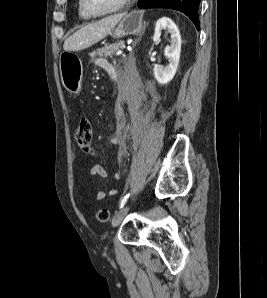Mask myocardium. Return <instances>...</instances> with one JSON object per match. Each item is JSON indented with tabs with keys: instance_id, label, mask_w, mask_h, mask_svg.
Listing matches in <instances>:
<instances>
[{
	"instance_id": "f54148a6",
	"label": "myocardium",
	"mask_w": 267,
	"mask_h": 298,
	"mask_svg": "<svg viewBox=\"0 0 267 298\" xmlns=\"http://www.w3.org/2000/svg\"><path fill=\"white\" fill-rule=\"evenodd\" d=\"M133 0H123L117 8H115L114 10L112 11H108V12H105V13H92L90 12L87 8H86V5H85V0H79V4H80V8L81 10L83 11V13L88 16V17H91V18H100V17H106V16H110V15H114V14H118V13H121L123 11H125L127 9V7L130 5V3L132 2Z\"/></svg>"
}]
</instances>
